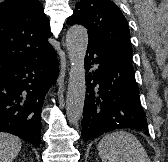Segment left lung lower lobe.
Returning a JSON list of instances; mask_svg holds the SVG:
<instances>
[{"label": "left lung lower lobe", "instance_id": "0a47b994", "mask_svg": "<svg viewBox=\"0 0 168 162\" xmlns=\"http://www.w3.org/2000/svg\"><path fill=\"white\" fill-rule=\"evenodd\" d=\"M92 67L96 70L86 75L82 138L93 140L124 128L149 135L132 63L89 41L85 69L88 72Z\"/></svg>", "mask_w": 168, "mask_h": 162}]
</instances>
